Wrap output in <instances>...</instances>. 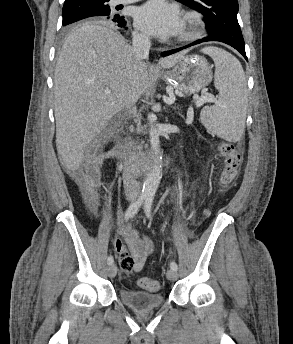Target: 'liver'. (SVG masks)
<instances>
[{"mask_svg":"<svg viewBox=\"0 0 293 344\" xmlns=\"http://www.w3.org/2000/svg\"><path fill=\"white\" fill-rule=\"evenodd\" d=\"M185 54L165 57L159 66L171 68ZM130 74L138 99L149 89L147 65L135 66L132 47L113 29L85 24L65 39L54 73V111L57 152L67 170L79 168L88 144L122 110Z\"/></svg>","mask_w":293,"mask_h":344,"instance_id":"liver-1","label":"liver"}]
</instances>
